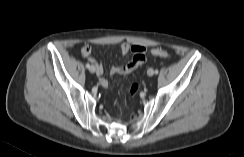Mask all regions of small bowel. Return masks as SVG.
I'll use <instances>...</instances> for the list:
<instances>
[{"label": "small bowel", "mask_w": 244, "mask_h": 157, "mask_svg": "<svg viewBox=\"0 0 244 157\" xmlns=\"http://www.w3.org/2000/svg\"><path fill=\"white\" fill-rule=\"evenodd\" d=\"M119 49H120L121 54H123V55H126L129 52H132L134 54V56H133L132 60L130 62H128L126 65L111 67V69L109 70L110 75H114V74L127 75V74L133 72L135 69H137L140 65L143 64L141 62H138L135 59V56L137 54H139L140 52L145 51L144 47H142L140 45H130L129 43L123 42L119 45ZM81 54L92 63V65L96 69V74L99 78L100 84L102 86L106 87L108 84V81L104 76L105 75V69L102 66V64L99 63L92 56L91 47L87 46V45L83 46L81 48Z\"/></svg>", "instance_id": "c3829d8e"}]
</instances>
